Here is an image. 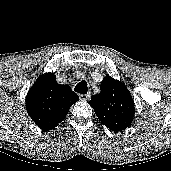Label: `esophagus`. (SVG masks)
Listing matches in <instances>:
<instances>
[{"label": "esophagus", "instance_id": "1", "mask_svg": "<svg viewBox=\"0 0 171 171\" xmlns=\"http://www.w3.org/2000/svg\"><path fill=\"white\" fill-rule=\"evenodd\" d=\"M90 94H79V98L83 101H88L90 99Z\"/></svg>", "mask_w": 171, "mask_h": 171}]
</instances>
